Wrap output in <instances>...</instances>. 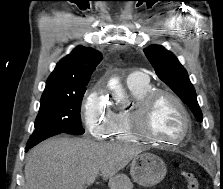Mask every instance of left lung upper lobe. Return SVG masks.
<instances>
[{
  "label": "left lung upper lobe",
  "mask_w": 223,
  "mask_h": 189,
  "mask_svg": "<svg viewBox=\"0 0 223 189\" xmlns=\"http://www.w3.org/2000/svg\"><path fill=\"white\" fill-rule=\"evenodd\" d=\"M144 53L158 77L190 107L197 120L202 122L203 116L197 102L195 89L179 60L160 45L145 48Z\"/></svg>",
  "instance_id": "left-lung-upper-lobe-1"
}]
</instances>
